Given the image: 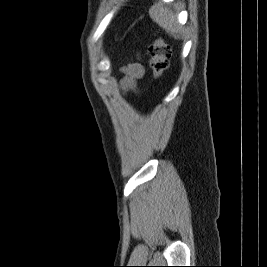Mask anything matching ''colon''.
Here are the masks:
<instances>
[{"mask_svg":"<svg viewBox=\"0 0 267 267\" xmlns=\"http://www.w3.org/2000/svg\"><path fill=\"white\" fill-rule=\"evenodd\" d=\"M148 53L154 76L159 79L169 67L171 47L162 38H157L149 45Z\"/></svg>","mask_w":267,"mask_h":267,"instance_id":"5ec220e1","label":"colon"}]
</instances>
